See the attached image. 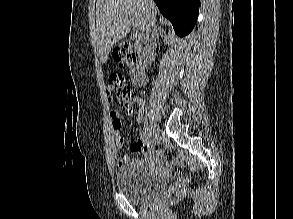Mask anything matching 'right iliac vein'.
I'll return each mask as SVG.
<instances>
[{"mask_svg":"<svg viewBox=\"0 0 293 219\" xmlns=\"http://www.w3.org/2000/svg\"><path fill=\"white\" fill-rule=\"evenodd\" d=\"M149 132L151 137H155L159 132V126L154 122L150 123Z\"/></svg>","mask_w":293,"mask_h":219,"instance_id":"obj_1","label":"right iliac vein"}]
</instances>
